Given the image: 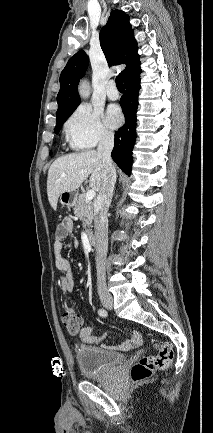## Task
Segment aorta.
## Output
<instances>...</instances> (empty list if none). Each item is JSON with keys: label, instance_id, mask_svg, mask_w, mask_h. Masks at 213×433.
<instances>
[{"label": "aorta", "instance_id": "1", "mask_svg": "<svg viewBox=\"0 0 213 433\" xmlns=\"http://www.w3.org/2000/svg\"><path fill=\"white\" fill-rule=\"evenodd\" d=\"M79 93L82 98H87L90 95V88L87 81H82L79 86Z\"/></svg>", "mask_w": 213, "mask_h": 433}]
</instances>
